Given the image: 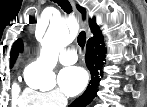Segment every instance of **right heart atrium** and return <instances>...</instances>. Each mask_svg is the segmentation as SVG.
Masks as SVG:
<instances>
[{"instance_id":"obj_1","label":"right heart atrium","mask_w":147,"mask_h":107,"mask_svg":"<svg viewBox=\"0 0 147 107\" xmlns=\"http://www.w3.org/2000/svg\"><path fill=\"white\" fill-rule=\"evenodd\" d=\"M37 103L42 107H57L65 103V99L58 90L36 93Z\"/></svg>"}]
</instances>
